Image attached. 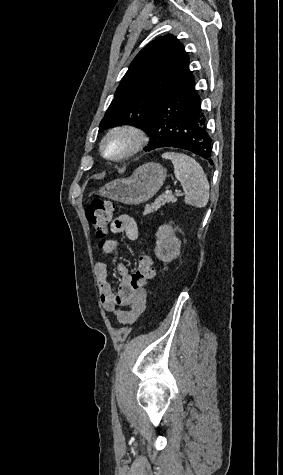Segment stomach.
Segmentation results:
<instances>
[{"mask_svg": "<svg viewBox=\"0 0 283 475\" xmlns=\"http://www.w3.org/2000/svg\"><path fill=\"white\" fill-rule=\"evenodd\" d=\"M165 178V168L161 164L148 162L136 168L131 178L109 182L98 190L97 196L110 198L128 206H137V204L148 202L163 186Z\"/></svg>", "mask_w": 283, "mask_h": 475, "instance_id": "0dacf381", "label": "stomach"}]
</instances>
